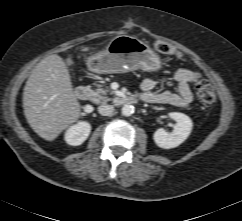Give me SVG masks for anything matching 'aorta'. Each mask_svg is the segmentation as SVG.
Here are the masks:
<instances>
[{"label": "aorta", "mask_w": 242, "mask_h": 221, "mask_svg": "<svg viewBox=\"0 0 242 221\" xmlns=\"http://www.w3.org/2000/svg\"><path fill=\"white\" fill-rule=\"evenodd\" d=\"M122 114L124 116H131L133 113H134V106L133 105H130V104H125L123 107H122Z\"/></svg>", "instance_id": "aorta-1"}]
</instances>
